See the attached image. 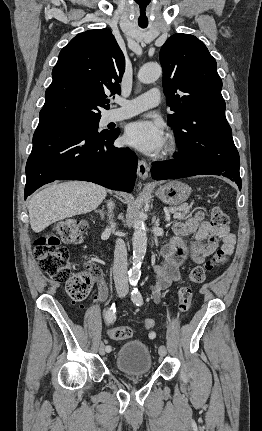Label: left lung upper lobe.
<instances>
[{
	"instance_id": "1",
	"label": "left lung upper lobe",
	"mask_w": 262,
	"mask_h": 431,
	"mask_svg": "<svg viewBox=\"0 0 262 431\" xmlns=\"http://www.w3.org/2000/svg\"><path fill=\"white\" fill-rule=\"evenodd\" d=\"M163 88L174 114V130L181 157L207 160L236 148L225 117L222 80L207 47L190 34H174L160 50Z\"/></svg>"
}]
</instances>
